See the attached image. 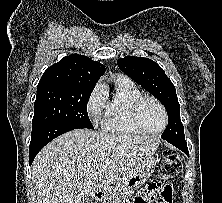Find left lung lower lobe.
<instances>
[{
	"label": "left lung lower lobe",
	"instance_id": "obj_1",
	"mask_svg": "<svg viewBox=\"0 0 222 203\" xmlns=\"http://www.w3.org/2000/svg\"><path fill=\"white\" fill-rule=\"evenodd\" d=\"M167 142H169L170 144L174 145L175 147H177L178 149H180L181 151H183L185 154H187L189 156V152H188V148H187V143L185 140L182 141H169L166 140Z\"/></svg>",
	"mask_w": 222,
	"mask_h": 203
}]
</instances>
